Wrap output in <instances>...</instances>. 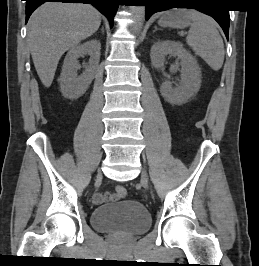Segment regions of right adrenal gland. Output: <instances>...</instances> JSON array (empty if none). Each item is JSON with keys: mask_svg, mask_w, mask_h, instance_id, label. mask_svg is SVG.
Wrapping results in <instances>:
<instances>
[{"mask_svg": "<svg viewBox=\"0 0 259 266\" xmlns=\"http://www.w3.org/2000/svg\"><path fill=\"white\" fill-rule=\"evenodd\" d=\"M101 31L104 33V27H102Z\"/></svg>", "mask_w": 259, "mask_h": 266, "instance_id": "right-adrenal-gland-1", "label": "right adrenal gland"}]
</instances>
